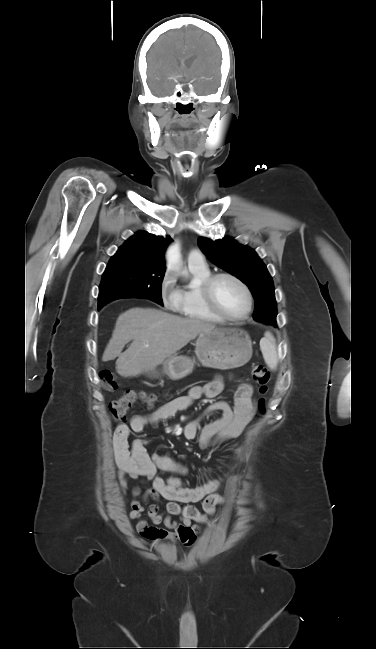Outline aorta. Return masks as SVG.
<instances>
[{"instance_id": "762f6f07", "label": "aorta", "mask_w": 376, "mask_h": 649, "mask_svg": "<svg viewBox=\"0 0 376 649\" xmlns=\"http://www.w3.org/2000/svg\"><path fill=\"white\" fill-rule=\"evenodd\" d=\"M179 261H180V246L178 243H175L167 251L168 267L174 270H178Z\"/></svg>"}]
</instances>
